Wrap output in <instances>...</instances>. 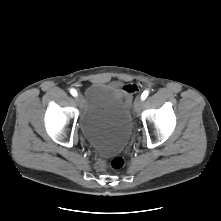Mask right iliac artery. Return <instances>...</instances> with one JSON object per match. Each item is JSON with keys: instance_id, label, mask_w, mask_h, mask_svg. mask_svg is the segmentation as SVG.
Segmentation results:
<instances>
[{"instance_id": "1", "label": "right iliac artery", "mask_w": 221, "mask_h": 221, "mask_svg": "<svg viewBox=\"0 0 221 221\" xmlns=\"http://www.w3.org/2000/svg\"><path fill=\"white\" fill-rule=\"evenodd\" d=\"M70 93L73 95V96H77V91L75 89H71L70 90Z\"/></svg>"}]
</instances>
